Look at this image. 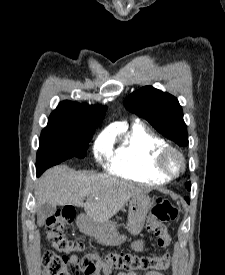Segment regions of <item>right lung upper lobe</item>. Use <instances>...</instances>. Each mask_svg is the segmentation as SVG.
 Masks as SVG:
<instances>
[{
    "label": "right lung upper lobe",
    "instance_id": "1",
    "mask_svg": "<svg viewBox=\"0 0 225 275\" xmlns=\"http://www.w3.org/2000/svg\"><path fill=\"white\" fill-rule=\"evenodd\" d=\"M105 111L106 107L104 106H90L65 100L51 113L49 122L99 125L105 115Z\"/></svg>",
    "mask_w": 225,
    "mask_h": 275
}]
</instances>
